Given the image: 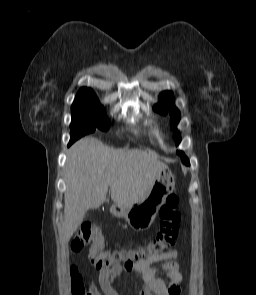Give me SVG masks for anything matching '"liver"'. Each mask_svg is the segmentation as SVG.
<instances>
[{
    "instance_id": "1",
    "label": "liver",
    "mask_w": 256,
    "mask_h": 295,
    "mask_svg": "<svg viewBox=\"0 0 256 295\" xmlns=\"http://www.w3.org/2000/svg\"><path fill=\"white\" fill-rule=\"evenodd\" d=\"M164 167L150 152L110 148L94 137L73 144L64 168V242L70 240L89 209L105 202L109 187L115 204H133L145 196Z\"/></svg>"
}]
</instances>
